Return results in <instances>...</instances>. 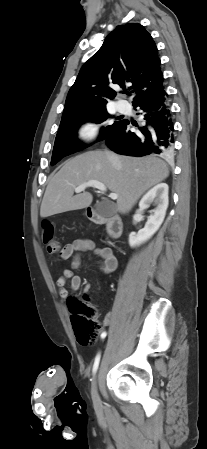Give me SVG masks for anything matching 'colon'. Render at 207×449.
I'll list each match as a JSON object with an SVG mask.
<instances>
[{"mask_svg": "<svg viewBox=\"0 0 207 449\" xmlns=\"http://www.w3.org/2000/svg\"><path fill=\"white\" fill-rule=\"evenodd\" d=\"M43 242L48 253H59V242L54 235L53 225L45 222L43 225ZM71 324L78 341L86 346L97 341L101 324L96 318V308L89 302V295L84 300H70Z\"/></svg>", "mask_w": 207, "mask_h": 449, "instance_id": "1", "label": "colon"}]
</instances>
